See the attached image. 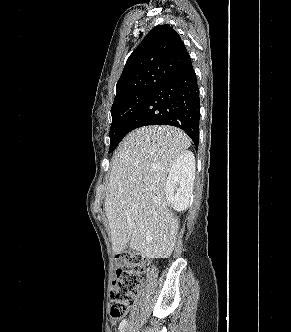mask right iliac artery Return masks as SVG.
<instances>
[{"label": "right iliac artery", "mask_w": 291, "mask_h": 332, "mask_svg": "<svg viewBox=\"0 0 291 332\" xmlns=\"http://www.w3.org/2000/svg\"><path fill=\"white\" fill-rule=\"evenodd\" d=\"M127 324V319L122 320V322L119 325V330H122Z\"/></svg>", "instance_id": "obj_1"}]
</instances>
